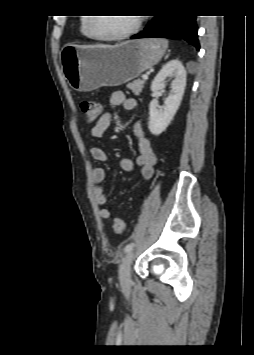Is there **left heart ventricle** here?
Wrapping results in <instances>:
<instances>
[{
    "label": "left heart ventricle",
    "mask_w": 254,
    "mask_h": 355,
    "mask_svg": "<svg viewBox=\"0 0 254 355\" xmlns=\"http://www.w3.org/2000/svg\"><path fill=\"white\" fill-rule=\"evenodd\" d=\"M134 23L133 15L109 16L98 18L95 23L96 31L104 36L118 35L127 31Z\"/></svg>",
    "instance_id": "1"
}]
</instances>
